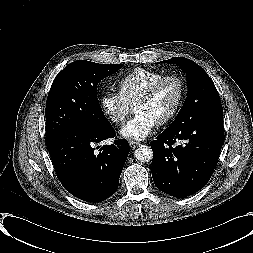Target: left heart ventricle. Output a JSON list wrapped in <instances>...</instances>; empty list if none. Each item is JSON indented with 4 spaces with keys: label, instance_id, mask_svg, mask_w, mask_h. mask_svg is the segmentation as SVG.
Wrapping results in <instances>:
<instances>
[{
    "label": "left heart ventricle",
    "instance_id": "b2bd125f",
    "mask_svg": "<svg viewBox=\"0 0 253 253\" xmlns=\"http://www.w3.org/2000/svg\"><path fill=\"white\" fill-rule=\"evenodd\" d=\"M180 88L175 80L166 81L148 102L138 105L135 112L153 118L157 123L167 116L176 106Z\"/></svg>",
    "mask_w": 253,
    "mask_h": 253
}]
</instances>
